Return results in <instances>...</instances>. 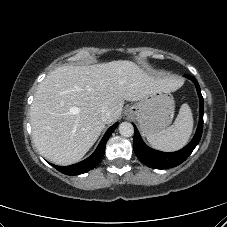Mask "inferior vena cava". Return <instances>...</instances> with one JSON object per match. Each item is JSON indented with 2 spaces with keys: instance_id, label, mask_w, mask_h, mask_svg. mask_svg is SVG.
Listing matches in <instances>:
<instances>
[{
  "instance_id": "obj_1",
  "label": "inferior vena cava",
  "mask_w": 227,
  "mask_h": 227,
  "mask_svg": "<svg viewBox=\"0 0 227 227\" xmlns=\"http://www.w3.org/2000/svg\"><path fill=\"white\" fill-rule=\"evenodd\" d=\"M112 116V113L108 107H102L101 109V119L107 122Z\"/></svg>"
}]
</instances>
